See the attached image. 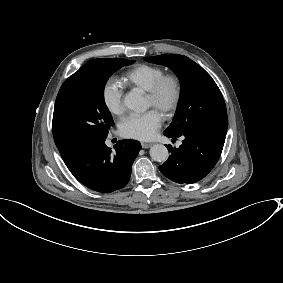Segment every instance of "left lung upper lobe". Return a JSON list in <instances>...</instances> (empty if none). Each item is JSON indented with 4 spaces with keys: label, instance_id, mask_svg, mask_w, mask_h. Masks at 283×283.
I'll return each mask as SVG.
<instances>
[{
    "label": "left lung upper lobe",
    "instance_id": "1",
    "mask_svg": "<svg viewBox=\"0 0 283 283\" xmlns=\"http://www.w3.org/2000/svg\"><path fill=\"white\" fill-rule=\"evenodd\" d=\"M171 68L180 79L181 95L174 119L165 135L185 132H226L227 111L212 77L186 56L163 54L144 58Z\"/></svg>",
    "mask_w": 283,
    "mask_h": 283
}]
</instances>
